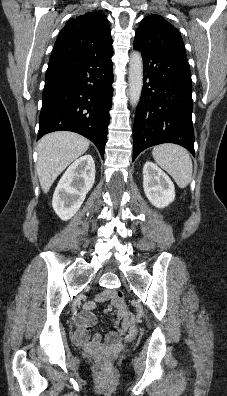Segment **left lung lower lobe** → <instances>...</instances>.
<instances>
[{
    "label": "left lung lower lobe",
    "mask_w": 227,
    "mask_h": 396,
    "mask_svg": "<svg viewBox=\"0 0 227 396\" xmlns=\"http://www.w3.org/2000/svg\"><path fill=\"white\" fill-rule=\"evenodd\" d=\"M143 57L144 87L134 121L133 161L144 149L175 143L194 155L192 81L185 55L146 47L134 40Z\"/></svg>",
    "instance_id": "obj_1"
}]
</instances>
